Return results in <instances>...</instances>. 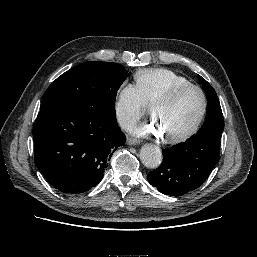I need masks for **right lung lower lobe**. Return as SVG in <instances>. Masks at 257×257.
<instances>
[{"instance_id": "obj_1", "label": "right lung lower lobe", "mask_w": 257, "mask_h": 257, "mask_svg": "<svg viewBox=\"0 0 257 257\" xmlns=\"http://www.w3.org/2000/svg\"><path fill=\"white\" fill-rule=\"evenodd\" d=\"M33 138L37 168L53 187L73 194L101 181L107 161L126 140L115 114L79 103L40 110Z\"/></svg>"}]
</instances>
